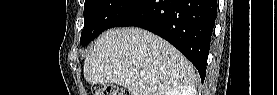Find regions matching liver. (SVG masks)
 Returning a JSON list of instances; mask_svg holds the SVG:
<instances>
[{
  "mask_svg": "<svg viewBox=\"0 0 277 95\" xmlns=\"http://www.w3.org/2000/svg\"><path fill=\"white\" fill-rule=\"evenodd\" d=\"M89 84L114 83L130 95H166L173 88L196 93L194 66L171 44L141 28H115L94 43L83 66Z\"/></svg>",
  "mask_w": 277,
  "mask_h": 95,
  "instance_id": "obj_1",
  "label": "liver"
}]
</instances>
